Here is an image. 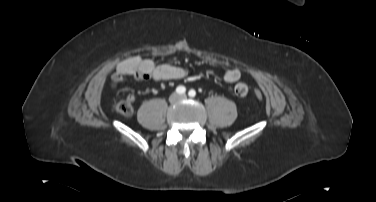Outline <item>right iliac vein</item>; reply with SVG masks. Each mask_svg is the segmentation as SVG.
Wrapping results in <instances>:
<instances>
[{
    "mask_svg": "<svg viewBox=\"0 0 376 202\" xmlns=\"http://www.w3.org/2000/svg\"><path fill=\"white\" fill-rule=\"evenodd\" d=\"M178 99V95L176 93H173L170 98H169V101L171 103L175 102L176 100Z\"/></svg>",
    "mask_w": 376,
    "mask_h": 202,
    "instance_id": "63e3f726",
    "label": "right iliac vein"
}]
</instances>
